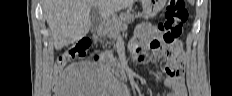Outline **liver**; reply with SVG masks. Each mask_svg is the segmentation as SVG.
<instances>
[{"label":"liver","mask_w":232,"mask_h":96,"mask_svg":"<svg viewBox=\"0 0 232 96\" xmlns=\"http://www.w3.org/2000/svg\"><path fill=\"white\" fill-rule=\"evenodd\" d=\"M135 0H43L44 15L51 30L54 47L59 50L82 39L91 27L93 6L106 18Z\"/></svg>","instance_id":"1"}]
</instances>
